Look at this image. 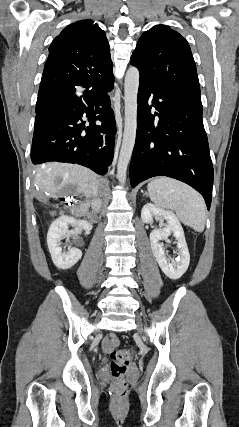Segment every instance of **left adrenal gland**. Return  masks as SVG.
I'll list each match as a JSON object with an SVG mask.
<instances>
[{"instance_id": "left-adrenal-gland-1", "label": "left adrenal gland", "mask_w": 239, "mask_h": 427, "mask_svg": "<svg viewBox=\"0 0 239 427\" xmlns=\"http://www.w3.org/2000/svg\"><path fill=\"white\" fill-rule=\"evenodd\" d=\"M143 196H148L147 192H145V193L143 194Z\"/></svg>"}]
</instances>
